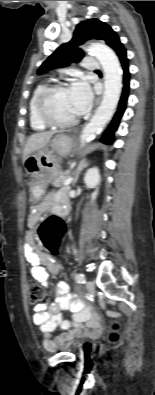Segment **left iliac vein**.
<instances>
[{
	"label": "left iliac vein",
	"mask_w": 155,
	"mask_h": 395,
	"mask_svg": "<svg viewBox=\"0 0 155 395\" xmlns=\"http://www.w3.org/2000/svg\"><path fill=\"white\" fill-rule=\"evenodd\" d=\"M86 288H87V290L89 291V293L91 294V295H94L95 294V285H94V282H92V281H87L86 282Z\"/></svg>",
	"instance_id": "obj_1"
}]
</instances>
